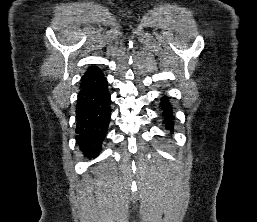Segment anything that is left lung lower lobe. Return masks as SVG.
I'll return each instance as SVG.
<instances>
[{
    "instance_id": "1",
    "label": "left lung lower lobe",
    "mask_w": 257,
    "mask_h": 222,
    "mask_svg": "<svg viewBox=\"0 0 257 222\" xmlns=\"http://www.w3.org/2000/svg\"><path fill=\"white\" fill-rule=\"evenodd\" d=\"M162 110H163V116L165 120L167 121L166 128L170 129L173 131V127L171 126V118H172V108L170 107V104L168 102V97L164 96L161 98V104H160Z\"/></svg>"
}]
</instances>
